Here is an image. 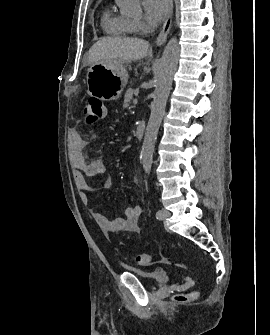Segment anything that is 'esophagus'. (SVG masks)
I'll list each match as a JSON object with an SVG mask.
<instances>
[{
  "label": "esophagus",
  "instance_id": "esophagus-1",
  "mask_svg": "<svg viewBox=\"0 0 270 335\" xmlns=\"http://www.w3.org/2000/svg\"><path fill=\"white\" fill-rule=\"evenodd\" d=\"M167 2H168L167 15L165 17L161 32L159 33L155 42L157 46H161L165 42L172 25L173 0H167Z\"/></svg>",
  "mask_w": 270,
  "mask_h": 335
}]
</instances>
